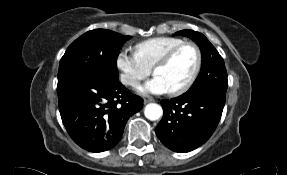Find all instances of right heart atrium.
I'll return each mask as SVG.
<instances>
[{"mask_svg": "<svg viewBox=\"0 0 287 175\" xmlns=\"http://www.w3.org/2000/svg\"><path fill=\"white\" fill-rule=\"evenodd\" d=\"M116 66L120 72L121 82L129 87L137 86L141 80L151 73V68L141 60L138 54L127 49H123L118 53Z\"/></svg>", "mask_w": 287, "mask_h": 175, "instance_id": "obj_1", "label": "right heart atrium"}]
</instances>
